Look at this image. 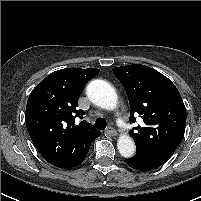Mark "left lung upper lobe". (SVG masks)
<instances>
[{"label":"left lung upper lobe","instance_id":"1","mask_svg":"<svg viewBox=\"0 0 201 201\" xmlns=\"http://www.w3.org/2000/svg\"><path fill=\"white\" fill-rule=\"evenodd\" d=\"M130 104V122L140 115L144 127L129 132L136 144V155H172L182 141L186 109L182 97L170 79L141 64L113 68Z\"/></svg>","mask_w":201,"mask_h":201}]
</instances>
